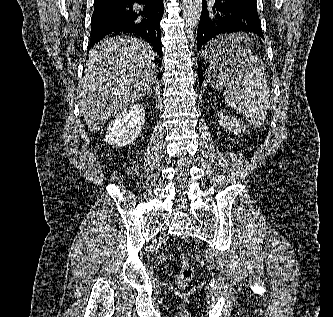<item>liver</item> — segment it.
<instances>
[{
    "label": "liver",
    "instance_id": "6515ba94",
    "mask_svg": "<svg viewBox=\"0 0 333 317\" xmlns=\"http://www.w3.org/2000/svg\"><path fill=\"white\" fill-rule=\"evenodd\" d=\"M153 59L152 47L132 36L108 37L94 45L77 90L91 132L97 133L120 109L150 90Z\"/></svg>",
    "mask_w": 333,
    "mask_h": 317
}]
</instances>
